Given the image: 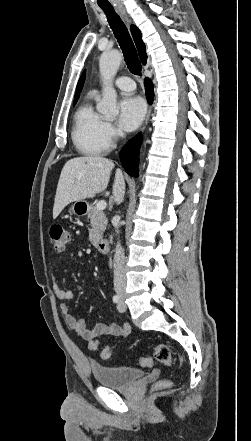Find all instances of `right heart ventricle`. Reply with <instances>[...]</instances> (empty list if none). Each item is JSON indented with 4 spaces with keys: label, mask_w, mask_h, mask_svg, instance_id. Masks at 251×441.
<instances>
[{
    "label": "right heart ventricle",
    "mask_w": 251,
    "mask_h": 441,
    "mask_svg": "<svg viewBox=\"0 0 251 441\" xmlns=\"http://www.w3.org/2000/svg\"><path fill=\"white\" fill-rule=\"evenodd\" d=\"M93 95L90 93L76 110L72 128V141L76 149L89 156L103 154L111 146L105 133L104 117L93 107Z\"/></svg>",
    "instance_id": "obj_1"
}]
</instances>
